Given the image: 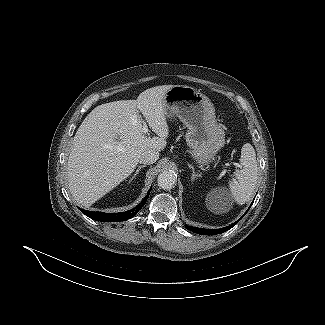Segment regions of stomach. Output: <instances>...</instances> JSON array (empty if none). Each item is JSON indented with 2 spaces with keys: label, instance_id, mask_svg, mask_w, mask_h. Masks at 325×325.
Instances as JSON below:
<instances>
[{
  "label": "stomach",
  "instance_id": "1",
  "mask_svg": "<svg viewBox=\"0 0 325 325\" xmlns=\"http://www.w3.org/2000/svg\"><path fill=\"white\" fill-rule=\"evenodd\" d=\"M165 115L178 117L188 128L185 139L193 158L208 164L225 144V131L217 123L211 100L187 85H174L164 97Z\"/></svg>",
  "mask_w": 325,
  "mask_h": 325
}]
</instances>
